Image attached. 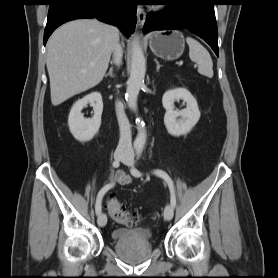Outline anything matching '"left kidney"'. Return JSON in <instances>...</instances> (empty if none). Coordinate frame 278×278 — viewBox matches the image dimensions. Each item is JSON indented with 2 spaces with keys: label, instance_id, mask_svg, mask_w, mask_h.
Instances as JSON below:
<instances>
[{
  "label": "left kidney",
  "instance_id": "left-kidney-1",
  "mask_svg": "<svg viewBox=\"0 0 278 278\" xmlns=\"http://www.w3.org/2000/svg\"><path fill=\"white\" fill-rule=\"evenodd\" d=\"M186 102L185 109L176 111L174 102L178 100ZM162 104L166 110L164 124L169 134L181 136L189 133L200 118V111L196 99L185 88L168 90L162 97ZM180 117V118H179Z\"/></svg>",
  "mask_w": 278,
  "mask_h": 278
}]
</instances>
